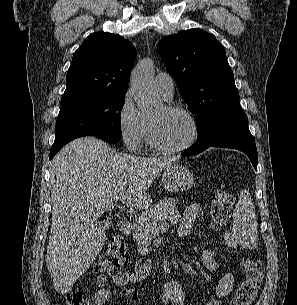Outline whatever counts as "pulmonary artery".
Masks as SVG:
<instances>
[{"label":"pulmonary artery","instance_id":"e3ab8cb5","mask_svg":"<svg viewBox=\"0 0 297 305\" xmlns=\"http://www.w3.org/2000/svg\"><path fill=\"white\" fill-rule=\"evenodd\" d=\"M154 86L159 95L165 100L173 96L174 83L172 77L165 72L158 73L154 79Z\"/></svg>","mask_w":297,"mask_h":305}]
</instances>
